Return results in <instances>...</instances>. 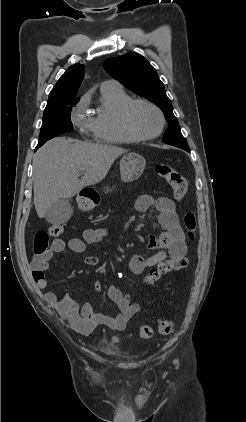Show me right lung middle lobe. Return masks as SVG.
Here are the masks:
<instances>
[{
  "label": "right lung middle lobe",
  "mask_w": 246,
  "mask_h": 422,
  "mask_svg": "<svg viewBox=\"0 0 246 422\" xmlns=\"http://www.w3.org/2000/svg\"><path fill=\"white\" fill-rule=\"evenodd\" d=\"M77 103L78 101H68L45 108L43 124L40 129V138L36 149L41 147L49 139L73 130L70 113L72 107Z\"/></svg>",
  "instance_id": "obj_1"
}]
</instances>
